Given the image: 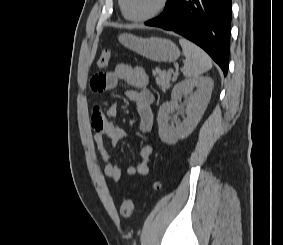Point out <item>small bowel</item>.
<instances>
[{
  "label": "small bowel",
  "instance_id": "obj_1",
  "mask_svg": "<svg viewBox=\"0 0 283 245\" xmlns=\"http://www.w3.org/2000/svg\"><path fill=\"white\" fill-rule=\"evenodd\" d=\"M120 82H125L134 87L126 91V96L137 105L139 115V128L144 133H150L154 125L153 103L154 96L147 88L148 76L140 67L128 64H118L112 72H99L92 76L90 87L92 91L99 93L116 88ZM117 115V104L110 102L106 112L95 108L91 125L94 130L93 140L105 163L104 175L114 181L122 177V169L115 162L105 147V139H109L113 146L117 145L125 136V131L112 119ZM153 148L144 145L140 150V160L136 165L128 166V175H146L152 160Z\"/></svg>",
  "mask_w": 283,
  "mask_h": 245
}]
</instances>
